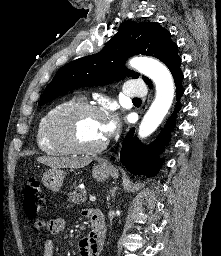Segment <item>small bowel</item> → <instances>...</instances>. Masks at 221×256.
I'll list each match as a JSON object with an SVG mask.
<instances>
[{"label": "small bowel", "instance_id": "obj_1", "mask_svg": "<svg viewBox=\"0 0 221 256\" xmlns=\"http://www.w3.org/2000/svg\"><path fill=\"white\" fill-rule=\"evenodd\" d=\"M94 210H86L83 212L84 215L90 219ZM66 221L62 217H53L49 220H40L37 222V228L41 232H48L51 234H59L65 230ZM102 243L96 242L92 239L91 233L89 236L84 237L79 242V252L81 256H99L101 251ZM54 255V244L52 240H45L43 242V256Z\"/></svg>", "mask_w": 221, "mask_h": 256}]
</instances>
